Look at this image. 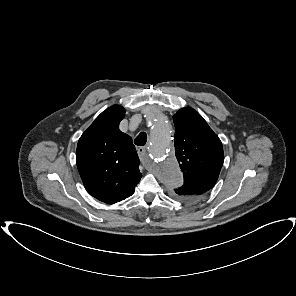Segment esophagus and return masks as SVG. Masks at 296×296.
Returning <instances> with one entry per match:
<instances>
[{"instance_id": "obj_1", "label": "esophagus", "mask_w": 296, "mask_h": 296, "mask_svg": "<svg viewBox=\"0 0 296 296\" xmlns=\"http://www.w3.org/2000/svg\"><path fill=\"white\" fill-rule=\"evenodd\" d=\"M137 153L140 159H143L147 153V148L146 147H138L137 148Z\"/></svg>"}]
</instances>
